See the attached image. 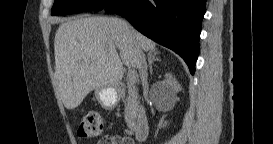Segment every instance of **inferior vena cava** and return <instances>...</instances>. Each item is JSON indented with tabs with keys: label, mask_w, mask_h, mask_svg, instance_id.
Instances as JSON below:
<instances>
[{
	"label": "inferior vena cava",
	"mask_w": 273,
	"mask_h": 144,
	"mask_svg": "<svg viewBox=\"0 0 273 144\" xmlns=\"http://www.w3.org/2000/svg\"><path fill=\"white\" fill-rule=\"evenodd\" d=\"M137 60H138V69H139V75L141 78V82L143 86H147V80H148V73H147V64H146V58L141 49H137L136 52Z\"/></svg>",
	"instance_id": "obj_1"
}]
</instances>
